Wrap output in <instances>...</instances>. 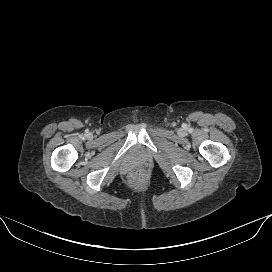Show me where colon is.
<instances>
[{"label":"colon","mask_w":272,"mask_h":272,"mask_svg":"<svg viewBox=\"0 0 272 272\" xmlns=\"http://www.w3.org/2000/svg\"><path fill=\"white\" fill-rule=\"evenodd\" d=\"M146 178V174L143 170H137L130 175V183L133 185L141 184Z\"/></svg>","instance_id":"colon-1"}]
</instances>
